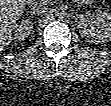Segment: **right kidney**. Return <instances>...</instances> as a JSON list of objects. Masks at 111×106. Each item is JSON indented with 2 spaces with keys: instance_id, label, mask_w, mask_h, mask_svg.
<instances>
[{
  "instance_id": "obj_1",
  "label": "right kidney",
  "mask_w": 111,
  "mask_h": 106,
  "mask_svg": "<svg viewBox=\"0 0 111 106\" xmlns=\"http://www.w3.org/2000/svg\"><path fill=\"white\" fill-rule=\"evenodd\" d=\"M33 28V24L30 21H23L20 24H16L14 27V37L20 40L26 38Z\"/></svg>"
}]
</instances>
